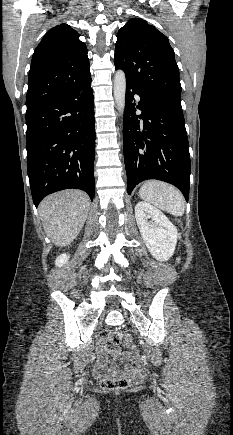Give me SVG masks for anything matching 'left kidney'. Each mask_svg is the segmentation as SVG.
Masks as SVG:
<instances>
[{
	"instance_id": "left-kidney-1",
	"label": "left kidney",
	"mask_w": 233,
	"mask_h": 435,
	"mask_svg": "<svg viewBox=\"0 0 233 435\" xmlns=\"http://www.w3.org/2000/svg\"><path fill=\"white\" fill-rule=\"evenodd\" d=\"M135 217L149 252L157 260L168 261L177 243L176 227L160 210L143 201L135 206Z\"/></svg>"
}]
</instances>
